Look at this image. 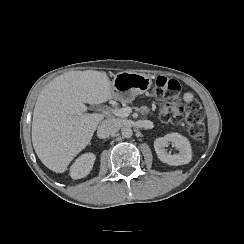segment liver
<instances>
[{
	"label": "liver",
	"instance_id": "liver-1",
	"mask_svg": "<svg viewBox=\"0 0 244 244\" xmlns=\"http://www.w3.org/2000/svg\"><path fill=\"white\" fill-rule=\"evenodd\" d=\"M113 98L106 71H69L45 86L35 102L31 127L33 148L45 167L66 172L105 118L85 114V104H103Z\"/></svg>",
	"mask_w": 244,
	"mask_h": 244
}]
</instances>
